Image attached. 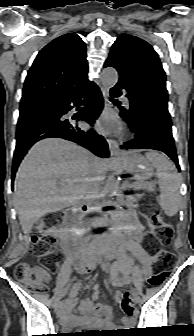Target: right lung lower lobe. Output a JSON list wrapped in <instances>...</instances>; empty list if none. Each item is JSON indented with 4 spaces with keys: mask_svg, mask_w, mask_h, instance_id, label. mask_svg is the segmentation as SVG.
Instances as JSON below:
<instances>
[{
    "mask_svg": "<svg viewBox=\"0 0 194 336\" xmlns=\"http://www.w3.org/2000/svg\"><path fill=\"white\" fill-rule=\"evenodd\" d=\"M81 105L85 107L78 120L93 125L103 108L102 94L95 83L85 81L51 103L42 104L35 109L20 113L11 176L12 190L20 162L30 147L41 139L59 137L89 149L98 157L109 156L108 144L101 136L93 130L78 127L77 121H74L75 118L65 117L73 106ZM79 109L80 107H77V110Z\"/></svg>",
    "mask_w": 194,
    "mask_h": 336,
    "instance_id": "1",
    "label": "right lung lower lobe"
}]
</instances>
